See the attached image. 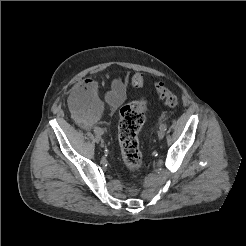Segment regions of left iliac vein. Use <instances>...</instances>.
<instances>
[{
  "label": "left iliac vein",
  "mask_w": 246,
  "mask_h": 246,
  "mask_svg": "<svg viewBox=\"0 0 246 246\" xmlns=\"http://www.w3.org/2000/svg\"><path fill=\"white\" fill-rule=\"evenodd\" d=\"M164 135H165V132L163 131V130H159L158 131V138L161 140V139H163L164 138Z\"/></svg>",
  "instance_id": "1"
}]
</instances>
